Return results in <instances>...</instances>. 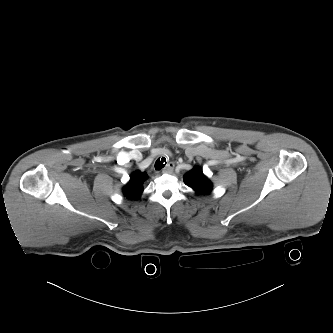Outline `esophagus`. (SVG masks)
I'll use <instances>...</instances> for the list:
<instances>
[{
	"mask_svg": "<svg viewBox=\"0 0 333 333\" xmlns=\"http://www.w3.org/2000/svg\"><path fill=\"white\" fill-rule=\"evenodd\" d=\"M175 164L173 162L168 163L162 170V173L171 174L173 173Z\"/></svg>",
	"mask_w": 333,
	"mask_h": 333,
	"instance_id": "obj_1",
	"label": "esophagus"
}]
</instances>
